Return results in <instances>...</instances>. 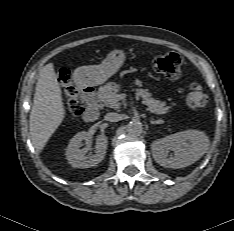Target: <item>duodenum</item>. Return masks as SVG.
Segmentation results:
<instances>
[{
  "mask_svg": "<svg viewBox=\"0 0 234 231\" xmlns=\"http://www.w3.org/2000/svg\"><path fill=\"white\" fill-rule=\"evenodd\" d=\"M78 86L81 96L86 103V109L83 114L84 121L93 122L99 117L95 88L83 80L78 81Z\"/></svg>",
  "mask_w": 234,
  "mask_h": 231,
  "instance_id": "obj_1",
  "label": "duodenum"
}]
</instances>
